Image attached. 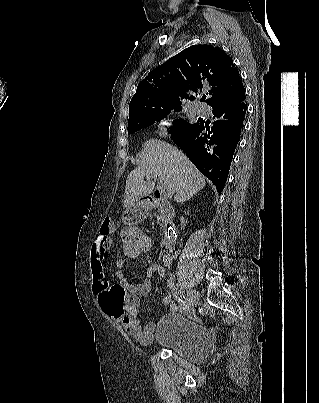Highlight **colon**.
<instances>
[{
    "mask_svg": "<svg viewBox=\"0 0 319 403\" xmlns=\"http://www.w3.org/2000/svg\"><path fill=\"white\" fill-rule=\"evenodd\" d=\"M154 241L144 226H125L121 231V253L125 260H140L141 254H152Z\"/></svg>",
    "mask_w": 319,
    "mask_h": 403,
    "instance_id": "obj_1",
    "label": "colon"
}]
</instances>
